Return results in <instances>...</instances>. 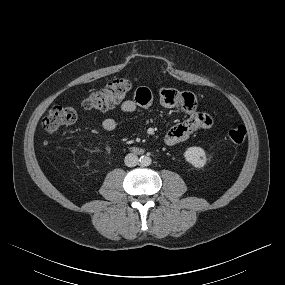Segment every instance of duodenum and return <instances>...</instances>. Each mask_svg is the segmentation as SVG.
<instances>
[{
	"mask_svg": "<svg viewBox=\"0 0 285 285\" xmlns=\"http://www.w3.org/2000/svg\"><path fill=\"white\" fill-rule=\"evenodd\" d=\"M134 150H135L136 152H142V150L139 149V148H134Z\"/></svg>",
	"mask_w": 285,
	"mask_h": 285,
	"instance_id": "410a0bca",
	"label": "duodenum"
}]
</instances>
